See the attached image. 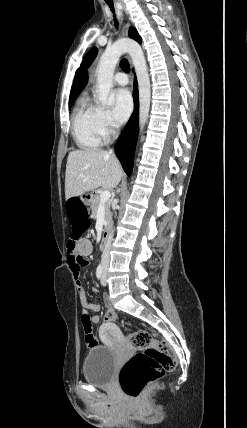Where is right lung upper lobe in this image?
I'll list each match as a JSON object with an SVG mask.
<instances>
[{
	"instance_id": "cb5924a9",
	"label": "right lung upper lobe",
	"mask_w": 247,
	"mask_h": 428,
	"mask_svg": "<svg viewBox=\"0 0 247 428\" xmlns=\"http://www.w3.org/2000/svg\"><path fill=\"white\" fill-rule=\"evenodd\" d=\"M129 36L139 43H141V41H142L137 30L133 27H130ZM87 79H88L87 73L77 72L76 77H75L74 82H73V85H72V88H71L69 104L74 103L75 99L78 97V95L80 94L82 89L85 87V85L87 83Z\"/></svg>"
}]
</instances>
